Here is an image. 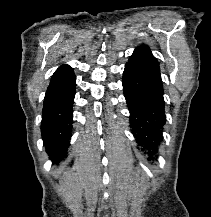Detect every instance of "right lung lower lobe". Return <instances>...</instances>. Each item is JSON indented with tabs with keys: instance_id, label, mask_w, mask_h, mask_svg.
Masks as SVG:
<instances>
[{
	"instance_id": "right-lung-lower-lobe-1",
	"label": "right lung lower lobe",
	"mask_w": 211,
	"mask_h": 217,
	"mask_svg": "<svg viewBox=\"0 0 211 217\" xmlns=\"http://www.w3.org/2000/svg\"><path fill=\"white\" fill-rule=\"evenodd\" d=\"M76 77L49 85L43 104L41 134L46 152L55 163L67 157L73 123Z\"/></svg>"
}]
</instances>
